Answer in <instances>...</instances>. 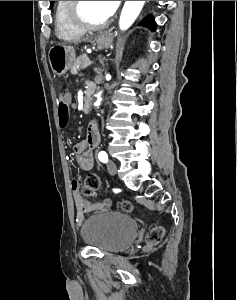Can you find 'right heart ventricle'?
Listing matches in <instances>:
<instances>
[{
	"instance_id": "1",
	"label": "right heart ventricle",
	"mask_w": 237,
	"mask_h": 300,
	"mask_svg": "<svg viewBox=\"0 0 237 300\" xmlns=\"http://www.w3.org/2000/svg\"><path fill=\"white\" fill-rule=\"evenodd\" d=\"M71 1H57L55 7L56 34L62 39H70L80 36L83 30L75 27L69 18V7Z\"/></svg>"
}]
</instances>
